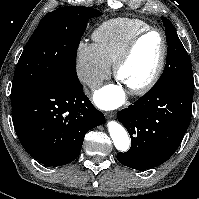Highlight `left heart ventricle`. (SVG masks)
Wrapping results in <instances>:
<instances>
[{
  "mask_svg": "<svg viewBox=\"0 0 199 199\" xmlns=\"http://www.w3.org/2000/svg\"><path fill=\"white\" fill-rule=\"evenodd\" d=\"M162 51L159 34L152 33L144 37L123 64L119 72V81L127 88L144 84L153 74Z\"/></svg>",
  "mask_w": 199,
  "mask_h": 199,
  "instance_id": "1",
  "label": "left heart ventricle"
}]
</instances>
